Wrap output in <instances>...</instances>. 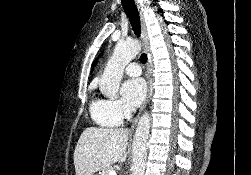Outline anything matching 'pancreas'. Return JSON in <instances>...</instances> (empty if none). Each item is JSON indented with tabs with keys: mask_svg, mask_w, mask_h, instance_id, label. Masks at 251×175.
Wrapping results in <instances>:
<instances>
[{
	"mask_svg": "<svg viewBox=\"0 0 251 175\" xmlns=\"http://www.w3.org/2000/svg\"><path fill=\"white\" fill-rule=\"evenodd\" d=\"M111 169H113L111 165H108V167H103V169L100 171V175H109V171H111Z\"/></svg>",
	"mask_w": 251,
	"mask_h": 175,
	"instance_id": "1",
	"label": "pancreas"
}]
</instances>
